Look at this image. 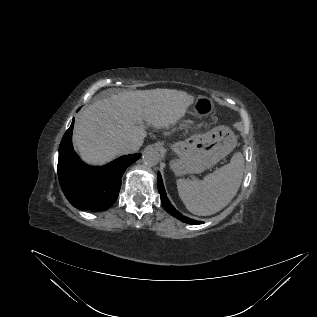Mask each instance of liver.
<instances>
[{"label": "liver", "mask_w": 317, "mask_h": 317, "mask_svg": "<svg viewBox=\"0 0 317 317\" xmlns=\"http://www.w3.org/2000/svg\"><path fill=\"white\" fill-rule=\"evenodd\" d=\"M193 102L192 95L174 89L113 94L90 104L77 116L73 143L84 162L106 164L122 155L120 144L142 146L147 136L144 123L155 129L169 128L185 116Z\"/></svg>", "instance_id": "liver-1"}]
</instances>
